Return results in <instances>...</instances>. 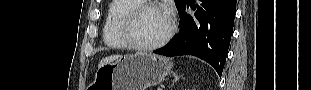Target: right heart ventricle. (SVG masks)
I'll use <instances>...</instances> for the list:
<instances>
[{
  "mask_svg": "<svg viewBox=\"0 0 311 90\" xmlns=\"http://www.w3.org/2000/svg\"><path fill=\"white\" fill-rule=\"evenodd\" d=\"M142 3L139 0H114L110 3L103 26V40L109 48H128L121 34L122 22L131 9Z\"/></svg>",
  "mask_w": 311,
  "mask_h": 90,
  "instance_id": "obj_1",
  "label": "right heart ventricle"
}]
</instances>
